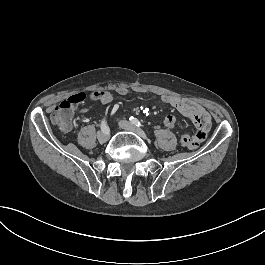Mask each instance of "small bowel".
Listing matches in <instances>:
<instances>
[{"mask_svg":"<svg viewBox=\"0 0 265 265\" xmlns=\"http://www.w3.org/2000/svg\"><path fill=\"white\" fill-rule=\"evenodd\" d=\"M131 92L143 93L144 90L141 88L131 89L127 86H118L112 91L103 92L100 96V101L103 104H107L112 101L113 93L128 95ZM161 101L192 120L197 128V132L193 136L196 141L191 142V147L196 149L199 148V143L207 138L211 129L212 120L209 112L201 104L188 98L164 94L161 96ZM163 124L165 127L173 129L178 125V121L173 115H167L163 120Z\"/></svg>","mask_w":265,"mask_h":265,"instance_id":"1","label":"small bowel"}]
</instances>
